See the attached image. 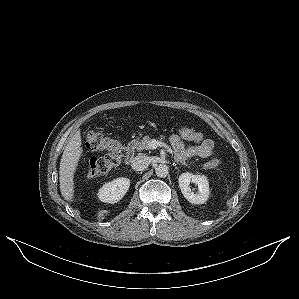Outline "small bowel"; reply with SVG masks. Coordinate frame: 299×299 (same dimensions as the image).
Masks as SVG:
<instances>
[{
	"label": "small bowel",
	"mask_w": 299,
	"mask_h": 299,
	"mask_svg": "<svg viewBox=\"0 0 299 299\" xmlns=\"http://www.w3.org/2000/svg\"><path fill=\"white\" fill-rule=\"evenodd\" d=\"M170 141L176 157L180 160H186L195 156L209 157L214 153V142L204 136L195 141L194 145L189 147H186L184 140L175 134L171 136Z\"/></svg>",
	"instance_id": "c3829d8e"
}]
</instances>
